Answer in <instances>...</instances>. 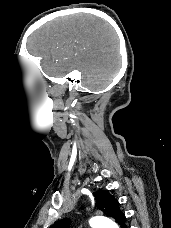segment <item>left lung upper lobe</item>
<instances>
[{"label": "left lung upper lobe", "mask_w": 171, "mask_h": 228, "mask_svg": "<svg viewBox=\"0 0 171 228\" xmlns=\"http://www.w3.org/2000/svg\"><path fill=\"white\" fill-rule=\"evenodd\" d=\"M96 206L103 211L108 217L113 218L119 225L125 223V215L119 208V202L114 199L109 192L99 190L93 193ZM69 219H63L52 225L51 228H69Z\"/></svg>", "instance_id": "5c2ea615"}]
</instances>
